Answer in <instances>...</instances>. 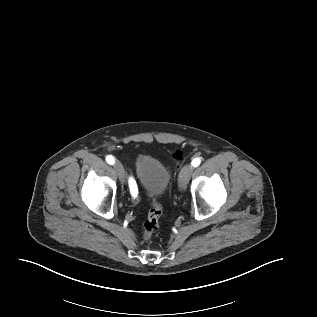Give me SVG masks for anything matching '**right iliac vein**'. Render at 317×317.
Segmentation results:
<instances>
[{"mask_svg":"<svg viewBox=\"0 0 317 317\" xmlns=\"http://www.w3.org/2000/svg\"><path fill=\"white\" fill-rule=\"evenodd\" d=\"M113 167H114L121 183L122 184L125 183V171H124L122 164L119 161H117Z\"/></svg>","mask_w":317,"mask_h":317,"instance_id":"1","label":"right iliac vein"}]
</instances>
